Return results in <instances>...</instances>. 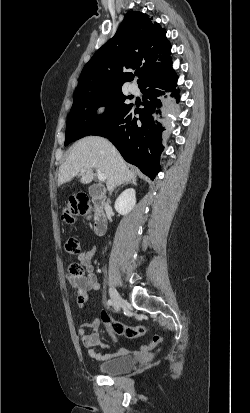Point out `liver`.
I'll list each match as a JSON object with an SVG mask.
<instances>
[{
    "label": "liver",
    "instance_id": "obj_1",
    "mask_svg": "<svg viewBox=\"0 0 250 413\" xmlns=\"http://www.w3.org/2000/svg\"><path fill=\"white\" fill-rule=\"evenodd\" d=\"M94 168L106 175V186L113 190L136 175L129 170L126 162L105 138L88 136L74 144L66 161L59 167L58 186L80 176L82 184H89L94 178Z\"/></svg>",
    "mask_w": 250,
    "mask_h": 413
}]
</instances>
